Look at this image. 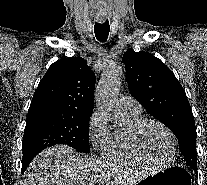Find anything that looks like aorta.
Returning a JSON list of instances; mask_svg holds the SVG:
<instances>
[{"label":"aorta","instance_id":"1","mask_svg":"<svg viewBox=\"0 0 207 185\" xmlns=\"http://www.w3.org/2000/svg\"><path fill=\"white\" fill-rule=\"evenodd\" d=\"M123 69L117 63L107 64L96 87L95 100L100 112L113 118L116 126L123 123V115L118 107V93L122 82Z\"/></svg>","mask_w":207,"mask_h":185}]
</instances>
